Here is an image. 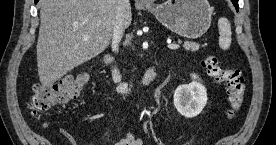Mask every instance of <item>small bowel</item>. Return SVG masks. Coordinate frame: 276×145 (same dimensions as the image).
<instances>
[{
	"instance_id": "obj_1",
	"label": "small bowel",
	"mask_w": 276,
	"mask_h": 145,
	"mask_svg": "<svg viewBox=\"0 0 276 145\" xmlns=\"http://www.w3.org/2000/svg\"><path fill=\"white\" fill-rule=\"evenodd\" d=\"M116 145H143V140L138 135L128 133L127 136L117 142Z\"/></svg>"
}]
</instances>
